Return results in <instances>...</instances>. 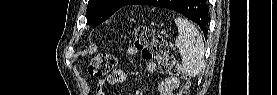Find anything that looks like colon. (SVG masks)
I'll return each mask as SVG.
<instances>
[{"label":"colon","mask_w":277,"mask_h":95,"mask_svg":"<svg viewBox=\"0 0 277 95\" xmlns=\"http://www.w3.org/2000/svg\"><path fill=\"white\" fill-rule=\"evenodd\" d=\"M134 47L148 59H155L164 73L181 76L182 66L169 51L167 42L151 29L139 26L134 30ZM116 65V58L109 53H98L90 61L88 72L94 78L109 74ZM180 94H186L182 91Z\"/></svg>","instance_id":"colon-1"}]
</instances>
